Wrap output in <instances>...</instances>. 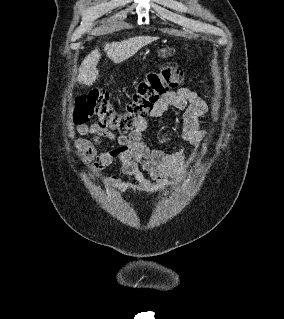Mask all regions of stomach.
Segmentation results:
<instances>
[{
  "label": "stomach",
  "instance_id": "1",
  "mask_svg": "<svg viewBox=\"0 0 284 319\" xmlns=\"http://www.w3.org/2000/svg\"><path fill=\"white\" fill-rule=\"evenodd\" d=\"M171 53H172V49L162 48V49H159L158 56L166 58L168 56H171Z\"/></svg>",
  "mask_w": 284,
  "mask_h": 319
}]
</instances>
